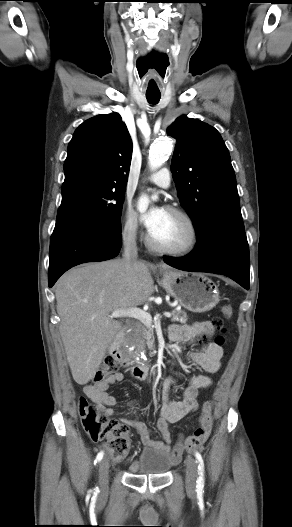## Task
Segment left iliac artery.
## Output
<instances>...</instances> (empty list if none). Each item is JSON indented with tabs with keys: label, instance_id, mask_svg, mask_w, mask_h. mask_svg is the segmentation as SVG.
<instances>
[{
	"label": "left iliac artery",
	"instance_id": "44dca946",
	"mask_svg": "<svg viewBox=\"0 0 292 527\" xmlns=\"http://www.w3.org/2000/svg\"><path fill=\"white\" fill-rule=\"evenodd\" d=\"M195 457L198 463V474H199V477L197 478V481H196L197 483L196 487L198 491H202L204 487V461H203L201 454L197 451L195 452Z\"/></svg>",
	"mask_w": 292,
	"mask_h": 527
}]
</instances>
